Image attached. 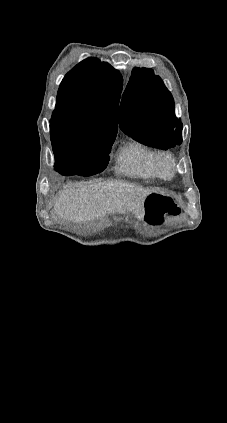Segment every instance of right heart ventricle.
Here are the masks:
<instances>
[{"mask_svg":"<svg viewBox=\"0 0 227 423\" xmlns=\"http://www.w3.org/2000/svg\"><path fill=\"white\" fill-rule=\"evenodd\" d=\"M156 151L146 144L131 140L118 152L116 171L141 179H162L155 166Z\"/></svg>","mask_w":227,"mask_h":423,"instance_id":"obj_1","label":"right heart ventricle"}]
</instances>
